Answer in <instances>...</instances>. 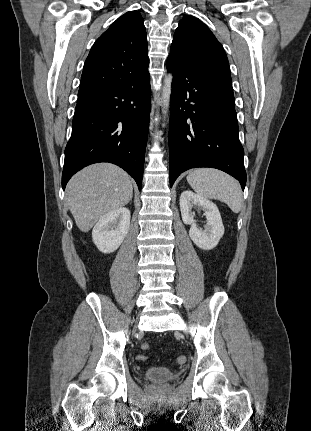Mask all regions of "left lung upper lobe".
<instances>
[{"label":"left lung upper lobe","mask_w":311,"mask_h":431,"mask_svg":"<svg viewBox=\"0 0 311 431\" xmlns=\"http://www.w3.org/2000/svg\"><path fill=\"white\" fill-rule=\"evenodd\" d=\"M168 58L195 71L231 80L222 45L204 23L192 16L185 15L179 23Z\"/></svg>","instance_id":"1"}]
</instances>
